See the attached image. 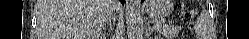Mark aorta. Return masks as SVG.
<instances>
[{
    "label": "aorta",
    "instance_id": "obj_1",
    "mask_svg": "<svg viewBox=\"0 0 249 39\" xmlns=\"http://www.w3.org/2000/svg\"><path fill=\"white\" fill-rule=\"evenodd\" d=\"M126 25L130 36H133L140 22V0H126Z\"/></svg>",
    "mask_w": 249,
    "mask_h": 39
}]
</instances>
